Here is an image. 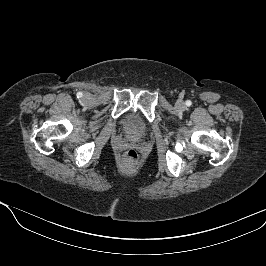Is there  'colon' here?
<instances>
[{
  "instance_id": "colon-1",
  "label": "colon",
  "mask_w": 266,
  "mask_h": 266,
  "mask_svg": "<svg viewBox=\"0 0 266 266\" xmlns=\"http://www.w3.org/2000/svg\"><path fill=\"white\" fill-rule=\"evenodd\" d=\"M124 159L129 164H135L139 160V155L135 150L131 149L125 153Z\"/></svg>"
}]
</instances>
